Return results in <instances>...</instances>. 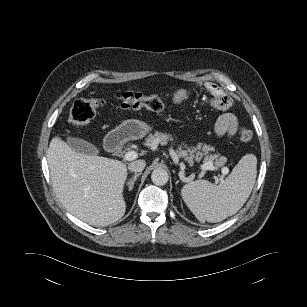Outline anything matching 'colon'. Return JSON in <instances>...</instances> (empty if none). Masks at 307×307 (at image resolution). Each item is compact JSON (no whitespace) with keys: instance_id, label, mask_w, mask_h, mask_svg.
<instances>
[{"instance_id":"5ec220e1","label":"colon","mask_w":307,"mask_h":307,"mask_svg":"<svg viewBox=\"0 0 307 307\" xmlns=\"http://www.w3.org/2000/svg\"><path fill=\"white\" fill-rule=\"evenodd\" d=\"M107 104L105 97L101 95L90 96L76 100L70 110L68 125L72 127H81L89 123L98 109ZM120 105L123 109H147L154 112H160L165 109L164 100L157 95H145L142 93L127 92L122 95ZM252 130L241 127L238 137L243 142H250L253 139Z\"/></svg>"}]
</instances>
